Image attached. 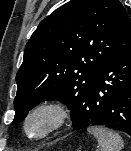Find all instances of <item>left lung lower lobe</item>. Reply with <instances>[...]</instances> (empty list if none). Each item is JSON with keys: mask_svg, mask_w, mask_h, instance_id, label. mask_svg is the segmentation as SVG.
Masks as SVG:
<instances>
[{"mask_svg": "<svg viewBox=\"0 0 131 151\" xmlns=\"http://www.w3.org/2000/svg\"><path fill=\"white\" fill-rule=\"evenodd\" d=\"M99 125L131 136V47L114 56L92 84L73 130Z\"/></svg>", "mask_w": 131, "mask_h": 151, "instance_id": "0a47b994", "label": "left lung lower lobe"}]
</instances>
